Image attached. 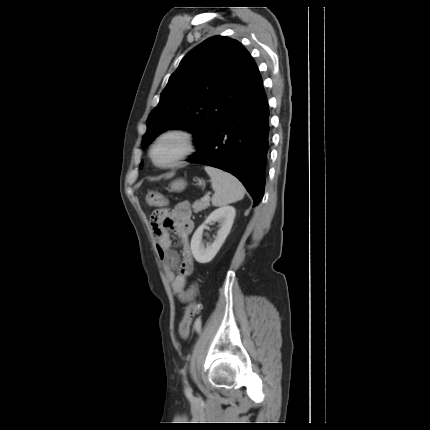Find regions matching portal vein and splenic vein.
I'll return each instance as SVG.
<instances>
[{"label": "portal vein and splenic vein", "instance_id": "1", "mask_svg": "<svg viewBox=\"0 0 430 430\" xmlns=\"http://www.w3.org/2000/svg\"><path fill=\"white\" fill-rule=\"evenodd\" d=\"M209 198H210L209 194H206V195L204 196V200H208Z\"/></svg>", "mask_w": 430, "mask_h": 430}]
</instances>
